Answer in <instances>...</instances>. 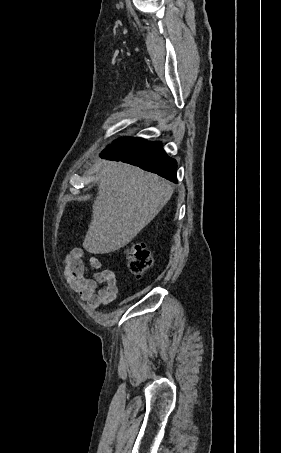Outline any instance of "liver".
Listing matches in <instances>:
<instances>
[{
	"label": "liver",
	"instance_id": "obj_1",
	"mask_svg": "<svg viewBox=\"0 0 281 453\" xmlns=\"http://www.w3.org/2000/svg\"><path fill=\"white\" fill-rule=\"evenodd\" d=\"M83 249L94 255L128 245L168 202L173 186L138 166L104 160Z\"/></svg>",
	"mask_w": 281,
	"mask_h": 453
}]
</instances>
